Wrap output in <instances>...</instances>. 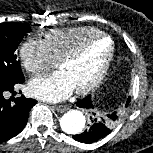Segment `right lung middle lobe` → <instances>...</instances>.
Wrapping results in <instances>:
<instances>
[{"instance_id": "1", "label": "right lung middle lobe", "mask_w": 153, "mask_h": 153, "mask_svg": "<svg viewBox=\"0 0 153 153\" xmlns=\"http://www.w3.org/2000/svg\"><path fill=\"white\" fill-rule=\"evenodd\" d=\"M31 28L24 23L0 24V79L18 81L24 78L16 49Z\"/></svg>"}]
</instances>
